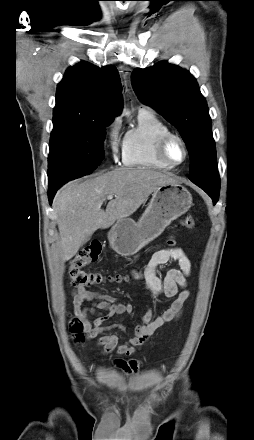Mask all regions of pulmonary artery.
Instances as JSON below:
<instances>
[{
    "mask_svg": "<svg viewBox=\"0 0 254 440\" xmlns=\"http://www.w3.org/2000/svg\"><path fill=\"white\" fill-rule=\"evenodd\" d=\"M140 110L143 111V110H148V109H146V108H144V107H140L139 111H140Z\"/></svg>",
    "mask_w": 254,
    "mask_h": 440,
    "instance_id": "1",
    "label": "pulmonary artery"
}]
</instances>
